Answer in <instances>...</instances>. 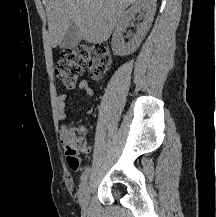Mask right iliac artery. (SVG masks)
Returning <instances> with one entry per match:
<instances>
[{"label":"right iliac artery","mask_w":216,"mask_h":217,"mask_svg":"<svg viewBox=\"0 0 216 217\" xmlns=\"http://www.w3.org/2000/svg\"><path fill=\"white\" fill-rule=\"evenodd\" d=\"M90 172V167H87L84 172L82 173L80 179H81V185L83 186L85 182L87 181L88 175Z\"/></svg>","instance_id":"82829eb1"}]
</instances>
